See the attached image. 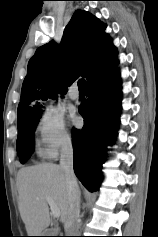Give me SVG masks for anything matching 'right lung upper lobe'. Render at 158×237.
Here are the masks:
<instances>
[{
    "instance_id": "cb5924a9",
    "label": "right lung upper lobe",
    "mask_w": 158,
    "mask_h": 237,
    "mask_svg": "<svg viewBox=\"0 0 158 237\" xmlns=\"http://www.w3.org/2000/svg\"><path fill=\"white\" fill-rule=\"evenodd\" d=\"M105 28L91 13L77 10L59 45L50 41L36 50L22 85L18 118L41 113L42 106L33 104L54 98L59 81L58 91L64 94L79 76L85 77L88 84L118 65L116 47Z\"/></svg>"
}]
</instances>
